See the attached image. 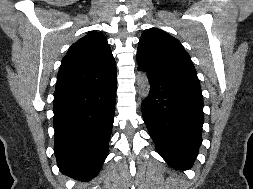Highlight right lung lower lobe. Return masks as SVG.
Listing matches in <instances>:
<instances>
[{"label": "right lung lower lobe", "mask_w": 253, "mask_h": 189, "mask_svg": "<svg viewBox=\"0 0 253 189\" xmlns=\"http://www.w3.org/2000/svg\"><path fill=\"white\" fill-rule=\"evenodd\" d=\"M116 102V72L92 83L56 84L54 150L64 174L95 177L108 155Z\"/></svg>", "instance_id": "98d812e1"}]
</instances>
